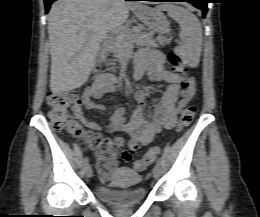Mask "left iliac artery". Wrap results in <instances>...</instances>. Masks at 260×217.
<instances>
[{
  "label": "left iliac artery",
  "mask_w": 260,
  "mask_h": 217,
  "mask_svg": "<svg viewBox=\"0 0 260 217\" xmlns=\"http://www.w3.org/2000/svg\"><path fill=\"white\" fill-rule=\"evenodd\" d=\"M156 165H157V166H161V161H160V159H157Z\"/></svg>",
  "instance_id": "left-iliac-artery-1"
}]
</instances>
